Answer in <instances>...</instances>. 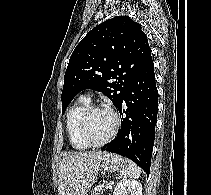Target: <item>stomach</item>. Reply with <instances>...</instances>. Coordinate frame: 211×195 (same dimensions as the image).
Returning <instances> with one entry per match:
<instances>
[{
    "label": "stomach",
    "instance_id": "0dacf381",
    "mask_svg": "<svg viewBox=\"0 0 211 195\" xmlns=\"http://www.w3.org/2000/svg\"><path fill=\"white\" fill-rule=\"evenodd\" d=\"M125 165L126 160L122 156L113 153H105L97 160V166L88 180L90 182H95L99 171L103 173L119 172L125 167Z\"/></svg>",
    "mask_w": 211,
    "mask_h": 195
}]
</instances>
